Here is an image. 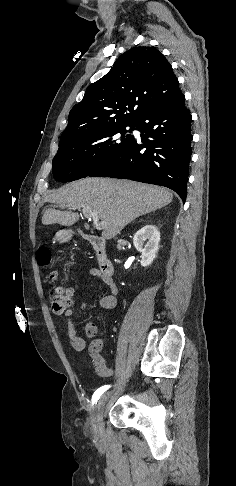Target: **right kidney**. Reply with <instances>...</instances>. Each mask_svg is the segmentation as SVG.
<instances>
[{
	"instance_id": "right-kidney-1",
	"label": "right kidney",
	"mask_w": 236,
	"mask_h": 486,
	"mask_svg": "<svg viewBox=\"0 0 236 486\" xmlns=\"http://www.w3.org/2000/svg\"><path fill=\"white\" fill-rule=\"evenodd\" d=\"M147 241L146 244L144 242ZM160 232L154 225H146L138 230L133 238V244L141 253V266L147 267L152 264L159 249Z\"/></svg>"
}]
</instances>
